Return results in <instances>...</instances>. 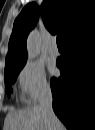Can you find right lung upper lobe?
I'll list each match as a JSON object with an SVG mask.
<instances>
[{
  "label": "right lung upper lobe",
  "instance_id": "cb5924a9",
  "mask_svg": "<svg viewBox=\"0 0 95 130\" xmlns=\"http://www.w3.org/2000/svg\"><path fill=\"white\" fill-rule=\"evenodd\" d=\"M41 11L47 29L51 33L59 32L64 43L95 27L94 0H44ZM38 17V6L30 3L16 18L9 40L5 70L25 65L26 39Z\"/></svg>",
  "mask_w": 95,
  "mask_h": 130
}]
</instances>
